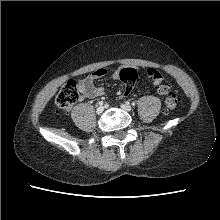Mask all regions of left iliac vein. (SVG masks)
<instances>
[{"mask_svg": "<svg viewBox=\"0 0 220 220\" xmlns=\"http://www.w3.org/2000/svg\"><path fill=\"white\" fill-rule=\"evenodd\" d=\"M121 108H122L123 110L127 111V112H129V111L132 110V107H131L129 104H127V103L121 104Z\"/></svg>", "mask_w": 220, "mask_h": 220, "instance_id": "left-iliac-vein-1", "label": "left iliac vein"}]
</instances>
